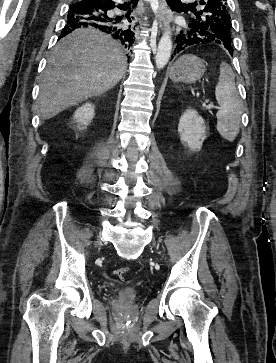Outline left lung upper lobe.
<instances>
[{
	"label": "left lung upper lobe",
	"instance_id": "obj_1",
	"mask_svg": "<svg viewBox=\"0 0 276 363\" xmlns=\"http://www.w3.org/2000/svg\"><path fill=\"white\" fill-rule=\"evenodd\" d=\"M203 10L197 12L190 25L203 27L214 35L211 42L223 45L233 50L231 46V21L226 0H201Z\"/></svg>",
	"mask_w": 276,
	"mask_h": 363
}]
</instances>
